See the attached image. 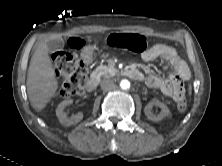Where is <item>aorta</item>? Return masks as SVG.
Instances as JSON below:
<instances>
[{"label": "aorta", "instance_id": "aorta-1", "mask_svg": "<svg viewBox=\"0 0 222 166\" xmlns=\"http://www.w3.org/2000/svg\"><path fill=\"white\" fill-rule=\"evenodd\" d=\"M120 87L124 90L129 89L130 88V82L128 80L124 79L120 82Z\"/></svg>", "mask_w": 222, "mask_h": 166}]
</instances>
